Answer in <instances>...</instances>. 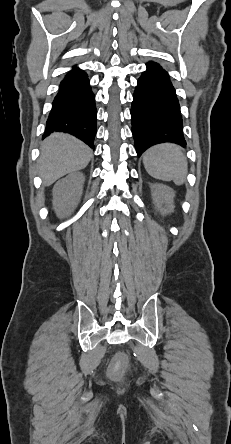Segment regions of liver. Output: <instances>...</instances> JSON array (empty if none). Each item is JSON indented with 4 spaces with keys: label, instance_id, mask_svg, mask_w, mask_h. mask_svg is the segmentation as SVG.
Masks as SVG:
<instances>
[{
    "label": "liver",
    "instance_id": "obj_1",
    "mask_svg": "<svg viewBox=\"0 0 231 444\" xmlns=\"http://www.w3.org/2000/svg\"><path fill=\"white\" fill-rule=\"evenodd\" d=\"M92 150L82 141L64 133H54L41 145L38 160L39 175L49 186L66 174L85 168L92 158Z\"/></svg>",
    "mask_w": 231,
    "mask_h": 444
}]
</instances>
